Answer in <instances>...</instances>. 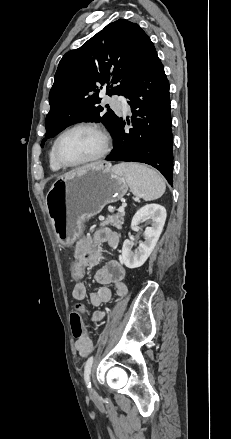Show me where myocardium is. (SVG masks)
I'll list each match as a JSON object with an SVG mask.
<instances>
[{
    "mask_svg": "<svg viewBox=\"0 0 231 439\" xmlns=\"http://www.w3.org/2000/svg\"><path fill=\"white\" fill-rule=\"evenodd\" d=\"M78 129H89V130H93V131L97 132L102 138L103 146H102V149L100 150V152L91 158H88L86 160H82L79 162H67L66 160H64L62 158V156L60 154V150H59L60 142L65 135H67L68 133H70L74 130H78ZM111 144H112L111 135L104 127H102L98 124H95V123H90V122L78 123V124H75L73 126H70L69 128L65 129L64 131H62L58 135V137L56 138V140L54 142V156H55L57 162L63 167H66V168L79 167V166H83L86 164H90V163L99 161L102 158H104L109 153V151L111 149Z\"/></svg>",
    "mask_w": 231,
    "mask_h": 439,
    "instance_id": "obj_1",
    "label": "myocardium"
}]
</instances>
